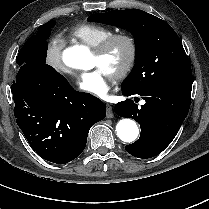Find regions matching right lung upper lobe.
I'll use <instances>...</instances> for the list:
<instances>
[{"instance_id": "right-lung-upper-lobe-1", "label": "right lung upper lobe", "mask_w": 209, "mask_h": 209, "mask_svg": "<svg viewBox=\"0 0 209 209\" xmlns=\"http://www.w3.org/2000/svg\"><path fill=\"white\" fill-rule=\"evenodd\" d=\"M51 23H52V21H49V22H47V23L41 25L40 27H38V29L46 28V27H48Z\"/></svg>"}]
</instances>
